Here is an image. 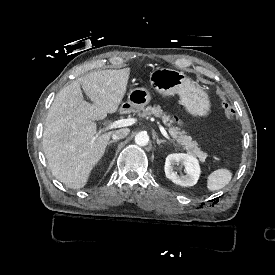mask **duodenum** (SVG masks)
Instances as JSON below:
<instances>
[{
    "label": "duodenum",
    "instance_id": "duodenum-1",
    "mask_svg": "<svg viewBox=\"0 0 275 275\" xmlns=\"http://www.w3.org/2000/svg\"><path fill=\"white\" fill-rule=\"evenodd\" d=\"M130 108L131 106L129 105H122L119 109V114H125Z\"/></svg>",
    "mask_w": 275,
    "mask_h": 275
}]
</instances>
